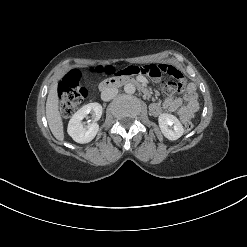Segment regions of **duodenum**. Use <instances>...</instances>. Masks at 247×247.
<instances>
[{"label":"duodenum","instance_id":"1","mask_svg":"<svg viewBox=\"0 0 247 247\" xmlns=\"http://www.w3.org/2000/svg\"><path fill=\"white\" fill-rule=\"evenodd\" d=\"M126 84L135 85L143 95H149V90L147 89V87H145L142 83L138 82L137 80L129 77H115L103 81L99 85L98 93L100 95H103L112 88Z\"/></svg>","mask_w":247,"mask_h":247}]
</instances>
